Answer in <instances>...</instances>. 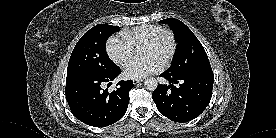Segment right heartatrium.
Instances as JSON below:
<instances>
[{
	"mask_svg": "<svg viewBox=\"0 0 276 138\" xmlns=\"http://www.w3.org/2000/svg\"><path fill=\"white\" fill-rule=\"evenodd\" d=\"M109 58L119 66H124L134 56V47L122 36L113 35L106 43Z\"/></svg>",
	"mask_w": 276,
	"mask_h": 138,
	"instance_id": "right-heart-atrium-1",
	"label": "right heart atrium"
}]
</instances>
